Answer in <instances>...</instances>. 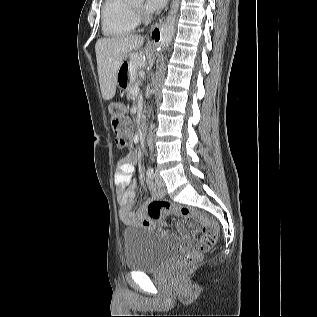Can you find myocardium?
<instances>
[{
	"label": "myocardium",
	"mask_w": 317,
	"mask_h": 317,
	"mask_svg": "<svg viewBox=\"0 0 317 317\" xmlns=\"http://www.w3.org/2000/svg\"><path fill=\"white\" fill-rule=\"evenodd\" d=\"M133 8H134L135 12H140V7H137V6L133 5Z\"/></svg>",
	"instance_id": "f54148a6"
}]
</instances>
